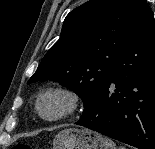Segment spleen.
<instances>
[{
    "instance_id": "obj_1",
    "label": "spleen",
    "mask_w": 155,
    "mask_h": 149,
    "mask_svg": "<svg viewBox=\"0 0 155 149\" xmlns=\"http://www.w3.org/2000/svg\"><path fill=\"white\" fill-rule=\"evenodd\" d=\"M119 149H126V148L121 146V147H119Z\"/></svg>"
}]
</instances>
